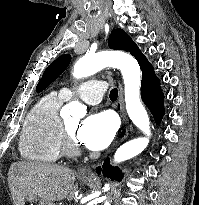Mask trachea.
I'll return each instance as SVG.
<instances>
[{
    "label": "trachea",
    "mask_w": 199,
    "mask_h": 205,
    "mask_svg": "<svg viewBox=\"0 0 199 205\" xmlns=\"http://www.w3.org/2000/svg\"><path fill=\"white\" fill-rule=\"evenodd\" d=\"M117 97H118V90L116 88H114L110 91V99L116 100Z\"/></svg>",
    "instance_id": "3493384b"
}]
</instances>
